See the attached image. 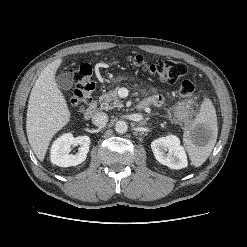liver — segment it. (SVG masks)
Wrapping results in <instances>:
<instances>
[{
  "label": "liver",
  "mask_w": 247,
  "mask_h": 247,
  "mask_svg": "<svg viewBox=\"0 0 247 247\" xmlns=\"http://www.w3.org/2000/svg\"><path fill=\"white\" fill-rule=\"evenodd\" d=\"M61 58L48 64L40 73L29 97L26 131L36 157L43 161L53 136L70 121L66 99L58 89L55 74Z\"/></svg>",
  "instance_id": "obj_1"
}]
</instances>
